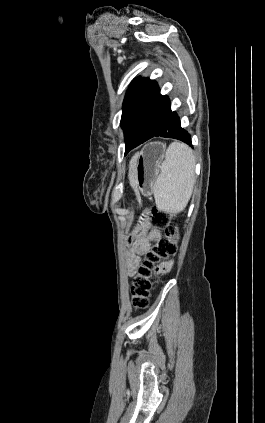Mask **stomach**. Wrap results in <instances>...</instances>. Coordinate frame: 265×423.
I'll return each instance as SVG.
<instances>
[{"label": "stomach", "mask_w": 265, "mask_h": 423, "mask_svg": "<svg viewBox=\"0 0 265 423\" xmlns=\"http://www.w3.org/2000/svg\"><path fill=\"white\" fill-rule=\"evenodd\" d=\"M166 147L161 142L146 144L134 157L137 181L141 191L148 194L156 180L165 157Z\"/></svg>", "instance_id": "obj_1"}]
</instances>
